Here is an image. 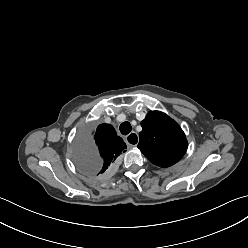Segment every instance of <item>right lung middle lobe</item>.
I'll use <instances>...</instances> for the list:
<instances>
[{
    "mask_svg": "<svg viewBox=\"0 0 248 248\" xmlns=\"http://www.w3.org/2000/svg\"><path fill=\"white\" fill-rule=\"evenodd\" d=\"M75 162L84 173L89 175L99 174L101 159L92 141L83 137L79 138L76 144Z\"/></svg>",
    "mask_w": 248,
    "mask_h": 248,
    "instance_id": "right-lung-middle-lobe-1",
    "label": "right lung middle lobe"
}]
</instances>
